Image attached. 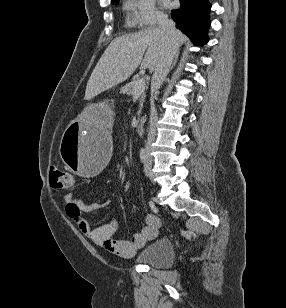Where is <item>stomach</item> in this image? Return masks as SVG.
<instances>
[{
  "label": "stomach",
  "mask_w": 286,
  "mask_h": 308,
  "mask_svg": "<svg viewBox=\"0 0 286 308\" xmlns=\"http://www.w3.org/2000/svg\"><path fill=\"white\" fill-rule=\"evenodd\" d=\"M72 122H65L62 142H57L62 163L78 174H101L109 163V137L117 133L115 103L111 97H98V103H90Z\"/></svg>",
  "instance_id": "stomach-1"
}]
</instances>
